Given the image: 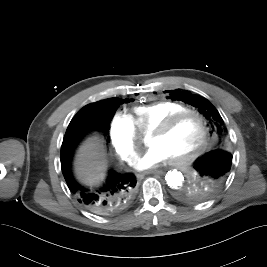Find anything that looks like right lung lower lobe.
I'll use <instances>...</instances> for the list:
<instances>
[{
    "label": "right lung lower lobe",
    "instance_id": "1",
    "mask_svg": "<svg viewBox=\"0 0 267 267\" xmlns=\"http://www.w3.org/2000/svg\"><path fill=\"white\" fill-rule=\"evenodd\" d=\"M112 115L102 106L83 107L71 120L61 147V168L70 191L88 209L101 215H112L124 210L133 200L137 181L132 173L110 169L105 182L96 189L79 184L71 172L74 149L85 133L96 129L108 130Z\"/></svg>",
    "mask_w": 267,
    "mask_h": 267
}]
</instances>
